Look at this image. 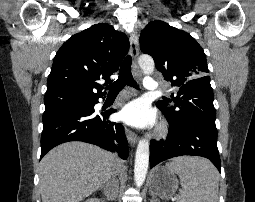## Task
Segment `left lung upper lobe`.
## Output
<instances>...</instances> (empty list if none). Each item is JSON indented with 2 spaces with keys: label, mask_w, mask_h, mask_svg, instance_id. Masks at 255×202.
Wrapping results in <instances>:
<instances>
[{
  "label": "left lung upper lobe",
  "mask_w": 255,
  "mask_h": 202,
  "mask_svg": "<svg viewBox=\"0 0 255 202\" xmlns=\"http://www.w3.org/2000/svg\"><path fill=\"white\" fill-rule=\"evenodd\" d=\"M140 47L153 57L157 70L175 87V106L159 101L157 107L174 126L203 122L215 126L216 111L206 56L187 32L162 21H151L142 31Z\"/></svg>",
  "instance_id": "left-lung-upper-lobe-1"
}]
</instances>
